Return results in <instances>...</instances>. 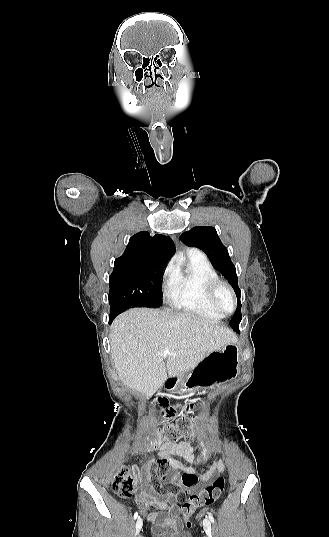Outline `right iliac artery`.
I'll list each match as a JSON object with an SVG mask.
<instances>
[{"instance_id": "82829eb1", "label": "right iliac artery", "mask_w": 329, "mask_h": 537, "mask_svg": "<svg viewBox=\"0 0 329 537\" xmlns=\"http://www.w3.org/2000/svg\"><path fill=\"white\" fill-rule=\"evenodd\" d=\"M138 518V512H135L134 514V520H136Z\"/></svg>"}]
</instances>
